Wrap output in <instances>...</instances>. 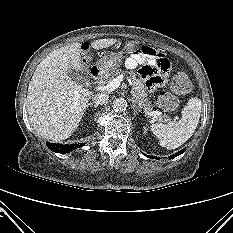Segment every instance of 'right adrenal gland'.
I'll return each instance as SVG.
<instances>
[{"label": "right adrenal gland", "instance_id": "obj_1", "mask_svg": "<svg viewBox=\"0 0 233 233\" xmlns=\"http://www.w3.org/2000/svg\"><path fill=\"white\" fill-rule=\"evenodd\" d=\"M89 106H93V107H95V108L98 107V105L95 104L94 102H89V103H87V108H88Z\"/></svg>", "mask_w": 233, "mask_h": 233}]
</instances>
